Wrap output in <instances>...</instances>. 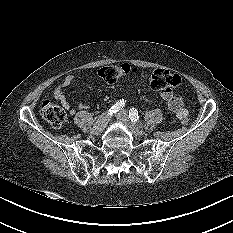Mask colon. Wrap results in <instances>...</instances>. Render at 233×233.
<instances>
[{"mask_svg":"<svg viewBox=\"0 0 233 233\" xmlns=\"http://www.w3.org/2000/svg\"><path fill=\"white\" fill-rule=\"evenodd\" d=\"M137 69L128 64L109 65L98 71V76L108 83H114L122 77L137 74ZM143 80L159 91H173L182 84L181 77L165 69H156L149 73H142ZM41 117L54 128H61L66 121L65 111L55 103L46 100L40 107ZM188 122L187 119L182 121L183 124Z\"/></svg>","mask_w":233,"mask_h":233,"instance_id":"5ec220e1","label":"colon"}]
</instances>
